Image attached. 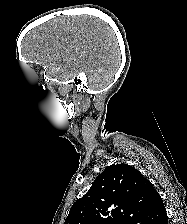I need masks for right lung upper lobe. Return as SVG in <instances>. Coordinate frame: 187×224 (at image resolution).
<instances>
[{"mask_svg": "<svg viewBox=\"0 0 187 224\" xmlns=\"http://www.w3.org/2000/svg\"><path fill=\"white\" fill-rule=\"evenodd\" d=\"M165 212L150 181L127 164H113L72 205L64 224H150Z\"/></svg>", "mask_w": 187, "mask_h": 224, "instance_id": "right-lung-upper-lobe-1", "label": "right lung upper lobe"}]
</instances>
